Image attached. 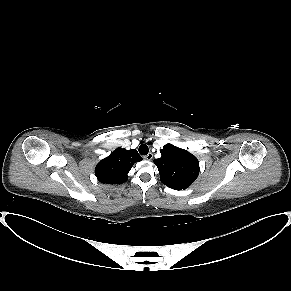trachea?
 Returning <instances> with one entry per match:
<instances>
[{
  "mask_svg": "<svg viewBox=\"0 0 291 291\" xmlns=\"http://www.w3.org/2000/svg\"><path fill=\"white\" fill-rule=\"evenodd\" d=\"M148 152H149V148H148V146L146 144H142V145L139 146V153L141 155H147Z\"/></svg>",
  "mask_w": 291,
  "mask_h": 291,
  "instance_id": "1",
  "label": "trachea"
}]
</instances>
